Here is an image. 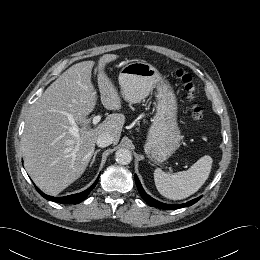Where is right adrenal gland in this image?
I'll return each instance as SVG.
<instances>
[{
    "label": "right adrenal gland",
    "instance_id": "1",
    "mask_svg": "<svg viewBox=\"0 0 260 260\" xmlns=\"http://www.w3.org/2000/svg\"><path fill=\"white\" fill-rule=\"evenodd\" d=\"M100 152V150H96L95 152H94V155H93V158H92V160H91V162H90V165H89V167H92V165H93V163H94V161H95V158H96V156H97V154Z\"/></svg>",
    "mask_w": 260,
    "mask_h": 260
}]
</instances>
